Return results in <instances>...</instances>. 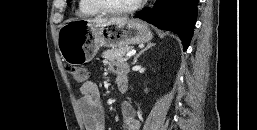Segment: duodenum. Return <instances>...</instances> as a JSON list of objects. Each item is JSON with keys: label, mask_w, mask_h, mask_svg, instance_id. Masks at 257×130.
I'll list each match as a JSON object with an SVG mask.
<instances>
[{"label": "duodenum", "mask_w": 257, "mask_h": 130, "mask_svg": "<svg viewBox=\"0 0 257 130\" xmlns=\"http://www.w3.org/2000/svg\"><path fill=\"white\" fill-rule=\"evenodd\" d=\"M118 87H119V90L121 91V92H126V90H127V84H126V82H119L118 83Z\"/></svg>", "instance_id": "410a0bca"}]
</instances>
